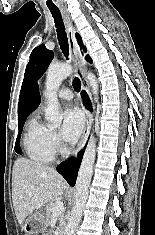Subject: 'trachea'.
<instances>
[{"instance_id": "1", "label": "trachea", "mask_w": 155, "mask_h": 235, "mask_svg": "<svg viewBox=\"0 0 155 235\" xmlns=\"http://www.w3.org/2000/svg\"><path fill=\"white\" fill-rule=\"evenodd\" d=\"M48 8H49V10H50V12H51V14L54 18V23H55V27H56V32H57V37H58L60 48H61L64 56L68 60L69 45H68L67 34H66V31H65V26H64V23H63V19H62L60 10L58 8H54V7H48ZM73 87H74V90L76 92L80 91L81 82H80V79L78 77L74 78Z\"/></svg>"}]
</instances>
